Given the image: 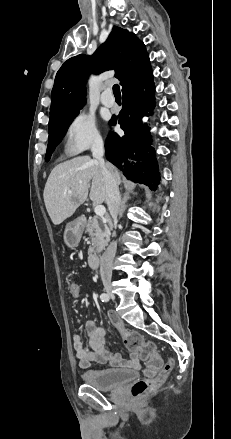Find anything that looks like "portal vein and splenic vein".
Listing matches in <instances>:
<instances>
[{"mask_svg":"<svg viewBox=\"0 0 231 439\" xmlns=\"http://www.w3.org/2000/svg\"><path fill=\"white\" fill-rule=\"evenodd\" d=\"M71 193H72V191L69 190V191H68V194H71ZM94 211H95V214H96L97 216H100V217L104 216L105 213H106V209H105V207H104L103 205H97V206H95Z\"/></svg>","mask_w":231,"mask_h":439,"instance_id":"obj_1","label":"portal vein and splenic vein"}]
</instances>
